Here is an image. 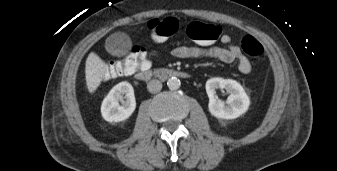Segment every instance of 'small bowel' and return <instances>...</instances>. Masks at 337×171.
I'll list each match as a JSON object with an SVG mask.
<instances>
[{
  "label": "small bowel",
  "instance_id": "small-bowel-1",
  "mask_svg": "<svg viewBox=\"0 0 337 171\" xmlns=\"http://www.w3.org/2000/svg\"><path fill=\"white\" fill-rule=\"evenodd\" d=\"M222 46H189L178 45L173 48L172 55L180 59L211 58L224 63H238V69L243 74L252 70L249 59L243 55L240 48L233 43L231 36L221 37Z\"/></svg>",
  "mask_w": 337,
  "mask_h": 171
}]
</instances>
